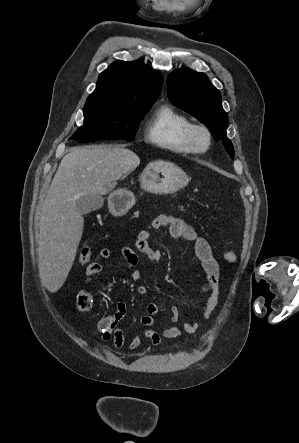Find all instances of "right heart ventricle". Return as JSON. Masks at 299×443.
<instances>
[{
	"mask_svg": "<svg viewBox=\"0 0 299 443\" xmlns=\"http://www.w3.org/2000/svg\"><path fill=\"white\" fill-rule=\"evenodd\" d=\"M192 121L170 105H162L153 113L145 138L152 145L178 154L192 153L185 135Z\"/></svg>",
	"mask_w": 299,
	"mask_h": 443,
	"instance_id": "obj_1",
	"label": "right heart ventricle"
}]
</instances>
